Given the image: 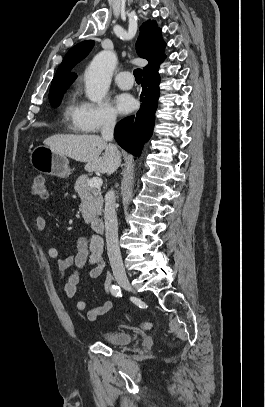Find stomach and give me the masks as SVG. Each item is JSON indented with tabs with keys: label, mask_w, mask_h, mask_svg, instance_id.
Wrapping results in <instances>:
<instances>
[{
	"label": "stomach",
	"mask_w": 265,
	"mask_h": 407,
	"mask_svg": "<svg viewBox=\"0 0 265 407\" xmlns=\"http://www.w3.org/2000/svg\"><path fill=\"white\" fill-rule=\"evenodd\" d=\"M30 163L33 168L46 175L67 178L71 174L67 157L45 145L33 149Z\"/></svg>",
	"instance_id": "stomach-1"
}]
</instances>
